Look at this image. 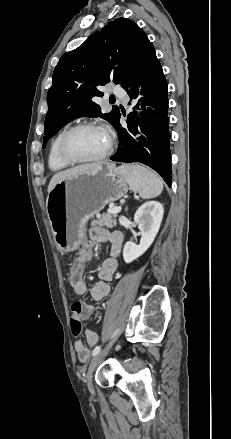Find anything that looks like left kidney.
Instances as JSON below:
<instances>
[{
	"label": "left kidney",
	"mask_w": 231,
	"mask_h": 439,
	"mask_svg": "<svg viewBox=\"0 0 231 439\" xmlns=\"http://www.w3.org/2000/svg\"><path fill=\"white\" fill-rule=\"evenodd\" d=\"M164 214L163 206L157 201H148L141 205L134 215V222L141 233L140 243L126 242L123 249V258L131 263L143 255L153 243Z\"/></svg>",
	"instance_id": "obj_1"
}]
</instances>
